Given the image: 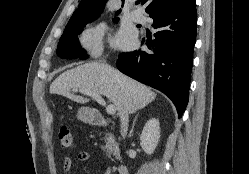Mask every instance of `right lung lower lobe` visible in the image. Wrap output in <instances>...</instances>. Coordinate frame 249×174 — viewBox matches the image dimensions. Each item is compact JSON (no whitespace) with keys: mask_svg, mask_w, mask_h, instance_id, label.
<instances>
[{"mask_svg":"<svg viewBox=\"0 0 249 174\" xmlns=\"http://www.w3.org/2000/svg\"><path fill=\"white\" fill-rule=\"evenodd\" d=\"M158 31L146 42L148 52L121 53L117 68L122 73L166 94L179 118L188 103L193 48L196 41V0L159 9L149 15Z\"/></svg>","mask_w":249,"mask_h":174,"instance_id":"obj_1","label":"right lung lower lobe"}]
</instances>
